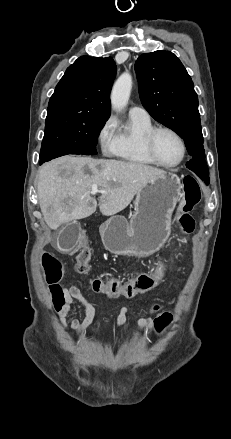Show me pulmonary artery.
<instances>
[{
    "mask_svg": "<svg viewBox=\"0 0 231 439\" xmlns=\"http://www.w3.org/2000/svg\"><path fill=\"white\" fill-rule=\"evenodd\" d=\"M129 116L141 119H150V115L147 110L140 106L131 107L129 110Z\"/></svg>",
    "mask_w": 231,
    "mask_h": 439,
    "instance_id": "obj_1",
    "label": "pulmonary artery"
}]
</instances>
